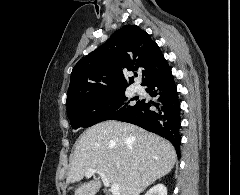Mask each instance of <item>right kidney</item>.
I'll list each match as a JSON object with an SVG mask.
<instances>
[{"mask_svg":"<svg viewBox=\"0 0 240 195\" xmlns=\"http://www.w3.org/2000/svg\"><path fill=\"white\" fill-rule=\"evenodd\" d=\"M145 195H167V187H165L164 183H157V185L150 187Z\"/></svg>","mask_w":240,"mask_h":195,"instance_id":"1","label":"right kidney"}]
</instances>
